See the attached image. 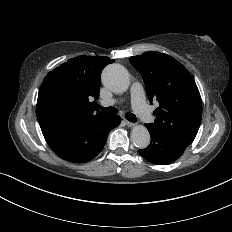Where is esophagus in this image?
I'll use <instances>...</instances> for the list:
<instances>
[{
	"instance_id": "1",
	"label": "esophagus",
	"mask_w": 232,
	"mask_h": 232,
	"mask_svg": "<svg viewBox=\"0 0 232 232\" xmlns=\"http://www.w3.org/2000/svg\"><path fill=\"white\" fill-rule=\"evenodd\" d=\"M125 123L128 127H132L134 125V123L127 121V120H125Z\"/></svg>"
}]
</instances>
